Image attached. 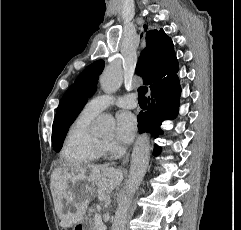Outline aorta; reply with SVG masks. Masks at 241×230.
Returning a JSON list of instances; mask_svg holds the SVG:
<instances>
[{
	"label": "aorta",
	"mask_w": 241,
	"mask_h": 230,
	"mask_svg": "<svg viewBox=\"0 0 241 230\" xmlns=\"http://www.w3.org/2000/svg\"><path fill=\"white\" fill-rule=\"evenodd\" d=\"M123 81L122 70L118 66H109L100 76L101 89L105 93L116 92ZM115 130V119L110 114L100 115L94 122L93 131L101 136L112 135ZM150 158V144L146 135L140 136L134 145L131 157L130 175L126 192L115 212L112 230H126L127 213L131 197L135 194L146 174Z\"/></svg>",
	"instance_id": "obj_1"
}]
</instances>
